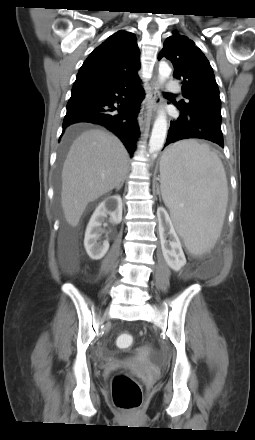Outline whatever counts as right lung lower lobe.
Here are the masks:
<instances>
[{
    "label": "right lung lower lobe",
    "instance_id": "98d812e1",
    "mask_svg": "<svg viewBox=\"0 0 255 440\" xmlns=\"http://www.w3.org/2000/svg\"><path fill=\"white\" fill-rule=\"evenodd\" d=\"M143 95L138 74L104 88L72 93L63 130L79 122L103 125L117 135L133 155L140 133L137 115Z\"/></svg>",
    "mask_w": 255,
    "mask_h": 440
}]
</instances>
